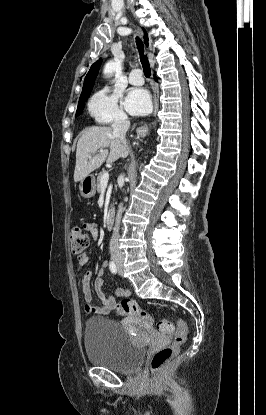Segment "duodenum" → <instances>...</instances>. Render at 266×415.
<instances>
[{"instance_id":"410a0bca","label":"duodenum","mask_w":266,"mask_h":415,"mask_svg":"<svg viewBox=\"0 0 266 415\" xmlns=\"http://www.w3.org/2000/svg\"><path fill=\"white\" fill-rule=\"evenodd\" d=\"M114 223V210L110 209L106 214L105 225L108 229H111Z\"/></svg>"}]
</instances>
